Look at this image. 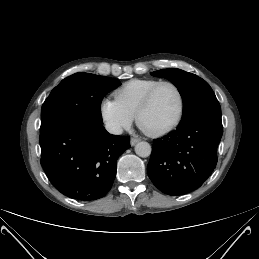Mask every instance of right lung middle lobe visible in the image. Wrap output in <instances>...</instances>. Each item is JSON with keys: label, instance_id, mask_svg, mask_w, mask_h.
Instances as JSON below:
<instances>
[{"label": "right lung middle lobe", "instance_id": "dd1d6c3e", "mask_svg": "<svg viewBox=\"0 0 259 259\" xmlns=\"http://www.w3.org/2000/svg\"><path fill=\"white\" fill-rule=\"evenodd\" d=\"M118 84L114 78L89 73H75L65 78L42 106L40 129L66 121L101 123L102 99Z\"/></svg>", "mask_w": 259, "mask_h": 259}]
</instances>
